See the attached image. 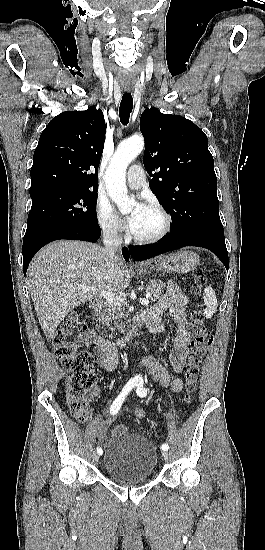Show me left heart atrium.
<instances>
[{"instance_id":"39dd6f15","label":"left heart atrium","mask_w":265,"mask_h":550,"mask_svg":"<svg viewBox=\"0 0 265 550\" xmlns=\"http://www.w3.org/2000/svg\"><path fill=\"white\" fill-rule=\"evenodd\" d=\"M146 207H147V206L144 205L143 203H139V204L136 206L134 213H132V214L128 217L127 222H128V225H129V228L131 229V231L134 229V227H135V225H136L138 216L142 213V211H143Z\"/></svg>"}]
</instances>
